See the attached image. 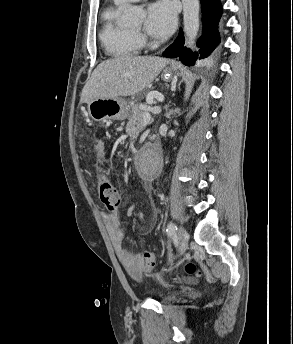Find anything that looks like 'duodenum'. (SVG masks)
<instances>
[{
  "label": "duodenum",
  "instance_id": "duodenum-1",
  "mask_svg": "<svg viewBox=\"0 0 293 344\" xmlns=\"http://www.w3.org/2000/svg\"><path fill=\"white\" fill-rule=\"evenodd\" d=\"M138 157H139V154H136V155L134 156V159H135V160H138ZM157 166L160 167V166H161V162H158Z\"/></svg>",
  "mask_w": 293,
  "mask_h": 344
}]
</instances>
